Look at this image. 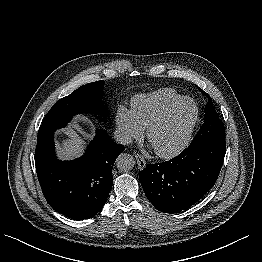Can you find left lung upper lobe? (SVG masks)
Returning <instances> with one entry per match:
<instances>
[{
    "mask_svg": "<svg viewBox=\"0 0 262 262\" xmlns=\"http://www.w3.org/2000/svg\"><path fill=\"white\" fill-rule=\"evenodd\" d=\"M202 93L204 91L199 89ZM211 139H225V129L222 121L213 106L210 99L205 106V120L191 144L199 143Z\"/></svg>",
    "mask_w": 262,
    "mask_h": 262,
    "instance_id": "1",
    "label": "left lung upper lobe"
}]
</instances>
